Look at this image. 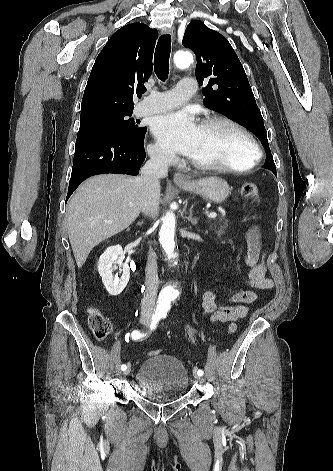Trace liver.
<instances>
[{
  "instance_id": "6515ba94",
  "label": "liver",
  "mask_w": 333,
  "mask_h": 471,
  "mask_svg": "<svg viewBox=\"0 0 333 471\" xmlns=\"http://www.w3.org/2000/svg\"><path fill=\"white\" fill-rule=\"evenodd\" d=\"M141 195L140 177L120 174L97 175L79 187L68 202L66 215L68 236L79 268L96 245L136 220Z\"/></svg>"
}]
</instances>
